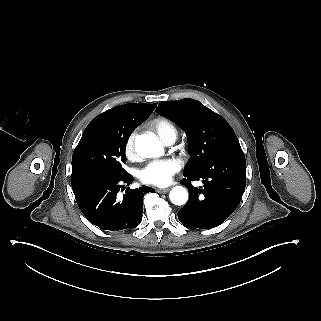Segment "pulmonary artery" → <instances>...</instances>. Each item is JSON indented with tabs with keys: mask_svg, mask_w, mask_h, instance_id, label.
I'll list each match as a JSON object with an SVG mask.
<instances>
[{
	"mask_svg": "<svg viewBox=\"0 0 321 321\" xmlns=\"http://www.w3.org/2000/svg\"><path fill=\"white\" fill-rule=\"evenodd\" d=\"M175 139H176L175 137L170 136V137H168V138L164 141V143H165L166 145H171V144L174 143Z\"/></svg>",
	"mask_w": 321,
	"mask_h": 321,
	"instance_id": "pulmonary-artery-1",
	"label": "pulmonary artery"
}]
</instances>
